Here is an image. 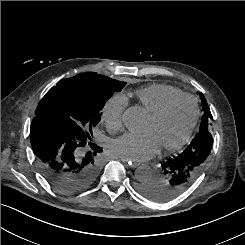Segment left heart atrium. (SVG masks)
Segmentation results:
<instances>
[{
	"label": "left heart atrium",
	"instance_id": "1",
	"mask_svg": "<svg viewBox=\"0 0 245 245\" xmlns=\"http://www.w3.org/2000/svg\"><path fill=\"white\" fill-rule=\"evenodd\" d=\"M111 152L132 161H145L153 157L159 146L149 133L125 134L111 143Z\"/></svg>",
	"mask_w": 245,
	"mask_h": 245
}]
</instances>
